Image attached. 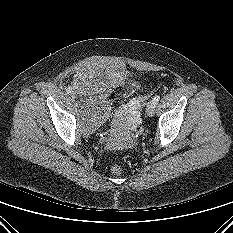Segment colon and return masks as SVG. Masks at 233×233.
Here are the masks:
<instances>
[{
    "label": "colon",
    "instance_id": "5ec220e1",
    "mask_svg": "<svg viewBox=\"0 0 233 233\" xmlns=\"http://www.w3.org/2000/svg\"><path fill=\"white\" fill-rule=\"evenodd\" d=\"M124 170H125L124 165L120 164V163H116V164L112 165V167H111V172L114 175H120L124 172Z\"/></svg>",
    "mask_w": 233,
    "mask_h": 233
}]
</instances>
